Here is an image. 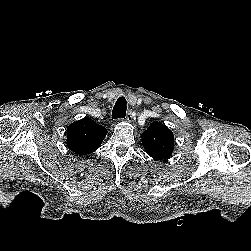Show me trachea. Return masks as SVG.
<instances>
[{
    "label": "trachea",
    "mask_w": 251,
    "mask_h": 251,
    "mask_svg": "<svg viewBox=\"0 0 251 251\" xmlns=\"http://www.w3.org/2000/svg\"><path fill=\"white\" fill-rule=\"evenodd\" d=\"M126 99L125 97L121 96L117 99L113 110H112V119L124 118L126 114Z\"/></svg>",
    "instance_id": "3493384b"
}]
</instances>
